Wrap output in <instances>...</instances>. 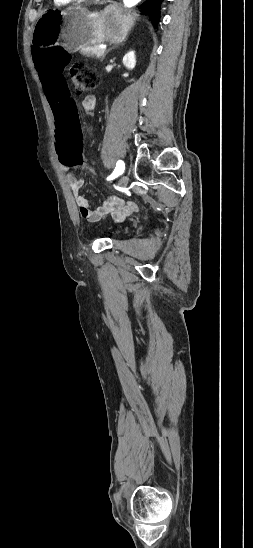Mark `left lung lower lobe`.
<instances>
[{
  "instance_id": "0a47b994",
  "label": "left lung lower lobe",
  "mask_w": 253,
  "mask_h": 548,
  "mask_svg": "<svg viewBox=\"0 0 253 548\" xmlns=\"http://www.w3.org/2000/svg\"><path fill=\"white\" fill-rule=\"evenodd\" d=\"M163 0H146L142 8L151 13L153 22L157 24L160 18V4Z\"/></svg>"
}]
</instances>
